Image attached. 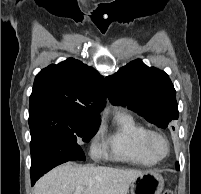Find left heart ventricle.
I'll use <instances>...</instances> for the list:
<instances>
[{
  "label": "left heart ventricle",
  "instance_id": "1",
  "mask_svg": "<svg viewBox=\"0 0 201 194\" xmlns=\"http://www.w3.org/2000/svg\"><path fill=\"white\" fill-rule=\"evenodd\" d=\"M151 149L156 155H163L166 152V146L160 138L153 139Z\"/></svg>",
  "mask_w": 201,
  "mask_h": 194
}]
</instances>
